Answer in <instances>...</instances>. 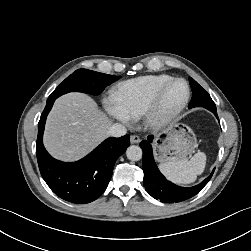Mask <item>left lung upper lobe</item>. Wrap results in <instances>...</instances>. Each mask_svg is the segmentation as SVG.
<instances>
[{"label":"left lung upper lobe","mask_w":251,"mask_h":251,"mask_svg":"<svg viewBox=\"0 0 251 251\" xmlns=\"http://www.w3.org/2000/svg\"><path fill=\"white\" fill-rule=\"evenodd\" d=\"M189 83L192 88V99L189 108L201 106L210 111L216 110L215 103L210 95L191 77H189Z\"/></svg>","instance_id":"1"}]
</instances>
